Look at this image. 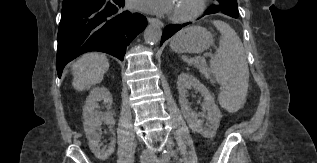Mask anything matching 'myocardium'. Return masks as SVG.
Returning <instances> with one entry per match:
<instances>
[{
	"label": "myocardium",
	"instance_id": "f54148a6",
	"mask_svg": "<svg viewBox=\"0 0 317 163\" xmlns=\"http://www.w3.org/2000/svg\"><path fill=\"white\" fill-rule=\"evenodd\" d=\"M191 8L184 13H171L170 19L173 22L185 23L200 16L207 7V0H193Z\"/></svg>",
	"mask_w": 317,
	"mask_h": 163
}]
</instances>
